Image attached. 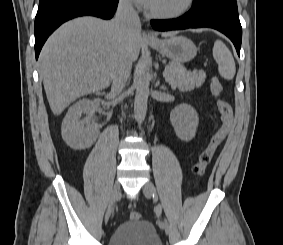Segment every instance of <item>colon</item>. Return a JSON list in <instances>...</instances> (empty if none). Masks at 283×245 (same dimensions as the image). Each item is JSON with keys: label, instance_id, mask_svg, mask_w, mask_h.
Wrapping results in <instances>:
<instances>
[{"label": "colon", "instance_id": "5ec220e1", "mask_svg": "<svg viewBox=\"0 0 283 245\" xmlns=\"http://www.w3.org/2000/svg\"><path fill=\"white\" fill-rule=\"evenodd\" d=\"M211 93L216 97V105L220 116V126L211 136L207 146L199 154L198 160L193 166V173L202 176L207 166L212 161L217 149L227 137L233 124V109L229 102L220 97L223 87L218 78H213L210 84ZM141 215L138 211L130 212L131 220H139Z\"/></svg>", "mask_w": 283, "mask_h": 245}]
</instances>
